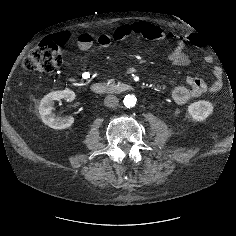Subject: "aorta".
I'll return each instance as SVG.
<instances>
[{
	"mask_svg": "<svg viewBox=\"0 0 236 236\" xmlns=\"http://www.w3.org/2000/svg\"><path fill=\"white\" fill-rule=\"evenodd\" d=\"M136 101H137V99L134 95H126L124 97L123 103H124L125 107L131 108L136 105Z\"/></svg>",
	"mask_w": 236,
	"mask_h": 236,
	"instance_id": "aorta-1",
	"label": "aorta"
}]
</instances>
